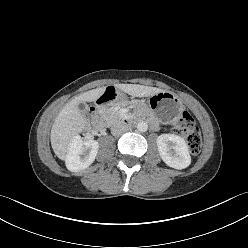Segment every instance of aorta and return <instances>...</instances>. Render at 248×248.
Returning <instances> with one entry per match:
<instances>
[{
    "mask_svg": "<svg viewBox=\"0 0 248 248\" xmlns=\"http://www.w3.org/2000/svg\"><path fill=\"white\" fill-rule=\"evenodd\" d=\"M137 129L140 132H146L147 129H148V124L146 122H143V121L142 122H139L137 124Z\"/></svg>",
    "mask_w": 248,
    "mask_h": 248,
    "instance_id": "762f6f07",
    "label": "aorta"
}]
</instances>
